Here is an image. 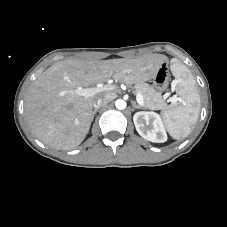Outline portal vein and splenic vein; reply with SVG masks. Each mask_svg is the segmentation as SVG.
<instances>
[{"label": "portal vein and splenic vein", "instance_id": "1", "mask_svg": "<svg viewBox=\"0 0 227 227\" xmlns=\"http://www.w3.org/2000/svg\"><path fill=\"white\" fill-rule=\"evenodd\" d=\"M113 89H114V86H112L110 84H106V85H100V86L93 87V88H80L77 90V93L84 97H91V96L96 95L99 92L109 91V90H113ZM136 100L139 105L143 106V104H144L143 97L138 92L136 93ZM176 100L177 99L175 97H171V99H170L171 102H175Z\"/></svg>", "mask_w": 227, "mask_h": 227}]
</instances>
